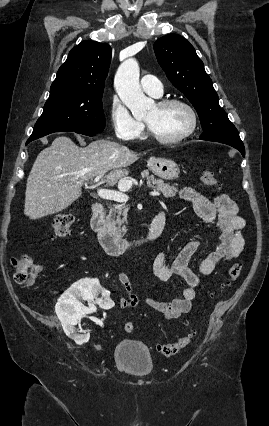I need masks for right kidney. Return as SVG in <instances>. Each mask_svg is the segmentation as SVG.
Masks as SVG:
<instances>
[{
  "label": "right kidney",
  "mask_w": 269,
  "mask_h": 426,
  "mask_svg": "<svg viewBox=\"0 0 269 426\" xmlns=\"http://www.w3.org/2000/svg\"><path fill=\"white\" fill-rule=\"evenodd\" d=\"M98 295H103V297L98 299ZM80 299L97 303L99 311H112L114 309V303L107 293V288L100 286L98 280L82 279L72 285L59 298L56 304V313L65 333L78 344L87 342L90 335L89 333L76 334L74 326L82 316L92 313L96 309L92 303L89 304V307H85Z\"/></svg>",
  "instance_id": "obj_1"
}]
</instances>
